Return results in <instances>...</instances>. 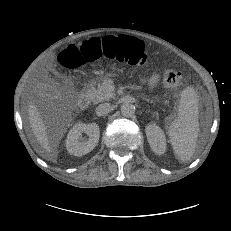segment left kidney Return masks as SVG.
<instances>
[{"mask_svg": "<svg viewBox=\"0 0 231 231\" xmlns=\"http://www.w3.org/2000/svg\"><path fill=\"white\" fill-rule=\"evenodd\" d=\"M146 136L152 151L161 155L166 150V138L162 129L156 124L147 125Z\"/></svg>", "mask_w": 231, "mask_h": 231, "instance_id": "obj_1", "label": "left kidney"}]
</instances>
